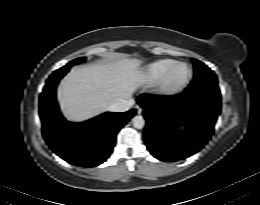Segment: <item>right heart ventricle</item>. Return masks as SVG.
<instances>
[{"mask_svg":"<svg viewBox=\"0 0 260 205\" xmlns=\"http://www.w3.org/2000/svg\"><path fill=\"white\" fill-rule=\"evenodd\" d=\"M174 63L176 61L173 59H159L148 64L142 74L144 81L149 84L156 83Z\"/></svg>","mask_w":260,"mask_h":205,"instance_id":"obj_1","label":"right heart ventricle"}]
</instances>
